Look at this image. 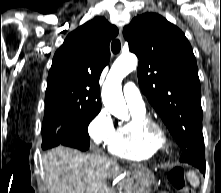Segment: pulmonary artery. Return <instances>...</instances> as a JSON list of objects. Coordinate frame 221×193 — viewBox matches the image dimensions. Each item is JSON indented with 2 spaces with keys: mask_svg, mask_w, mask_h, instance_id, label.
Listing matches in <instances>:
<instances>
[{
  "mask_svg": "<svg viewBox=\"0 0 221 193\" xmlns=\"http://www.w3.org/2000/svg\"><path fill=\"white\" fill-rule=\"evenodd\" d=\"M123 95L128 106L136 111H144L145 103L138 88L131 82L125 84Z\"/></svg>",
  "mask_w": 221,
  "mask_h": 193,
  "instance_id": "obj_1",
  "label": "pulmonary artery"
}]
</instances>
